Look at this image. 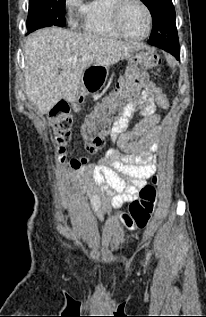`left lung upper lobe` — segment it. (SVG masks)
I'll list each match as a JSON object with an SVG mask.
<instances>
[{
  "instance_id": "obj_1",
  "label": "left lung upper lobe",
  "mask_w": 206,
  "mask_h": 317,
  "mask_svg": "<svg viewBox=\"0 0 206 317\" xmlns=\"http://www.w3.org/2000/svg\"><path fill=\"white\" fill-rule=\"evenodd\" d=\"M153 17V30L149 44H177L178 34L175 24V10L172 0H141Z\"/></svg>"
}]
</instances>
